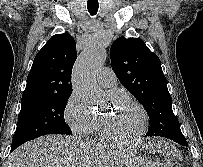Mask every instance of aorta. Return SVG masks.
<instances>
[{"mask_svg":"<svg viewBox=\"0 0 203 167\" xmlns=\"http://www.w3.org/2000/svg\"><path fill=\"white\" fill-rule=\"evenodd\" d=\"M106 50L92 42L78 57L74 69L72 86L85 104L93 106L101 99V90L97 86L95 75L106 60Z\"/></svg>","mask_w":203,"mask_h":167,"instance_id":"obj_1","label":"aorta"}]
</instances>
